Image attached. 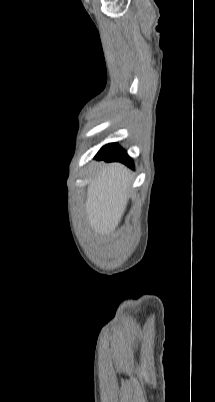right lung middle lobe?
Listing matches in <instances>:
<instances>
[{"instance_id": "obj_1", "label": "right lung middle lobe", "mask_w": 215, "mask_h": 402, "mask_svg": "<svg viewBox=\"0 0 215 402\" xmlns=\"http://www.w3.org/2000/svg\"><path fill=\"white\" fill-rule=\"evenodd\" d=\"M113 144H116V143H112V144H108V145H113Z\"/></svg>"}]
</instances>
